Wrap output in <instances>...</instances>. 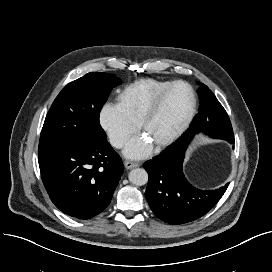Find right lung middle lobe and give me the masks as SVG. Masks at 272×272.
Returning <instances> with one entry per match:
<instances>
[{
    "mask_svg": "<svg viewBox=\"0 0 272 272\" xmlns=\"http://www.w3.org/2000/svg\"><path fill=\"white\" fill-rule=\"evenodd\" d=\"M121 83L112 74L91 72L67 84L45 118L40 143L105 141L99 114L112 88Z\"/></svg>",
    "mask_w": 272,
    "mask_h": 272,
    "instance_id": "obj_1",
    "label": "right lung middle lobe"
}]
</instances>
